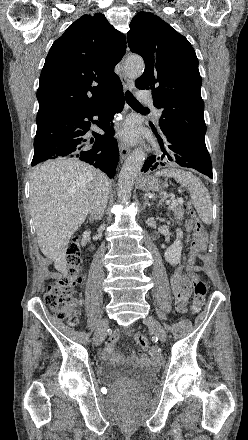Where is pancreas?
I'll return each mask as SVG.
<instances>
[{"label":"pancreas","instance_id":"obj_1","mask_svg":"<svg viewBox=\"0 0 248 440\" xmlns=\"http://www.w3.org/2000/svg\"><path fill=\"white\" fill-rule=\"evenodd\" d=\"M170 210H172L174 212V216L177 222L181 221L184 217V211L181 207L177 206H173L169 208Z\"/></svg>","mask_w":248,"mask_h":440}]
</instances>
